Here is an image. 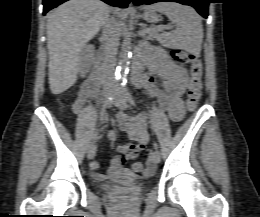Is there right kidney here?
<instances>
[{"label": "right kidney", "mask_w": 260, "mask_h": 217, "mask_svg": "<svg viewBox=\"0 0 260 217\" xmlns=\"http://www.w3.org/2000/svg\"><path fill=\"white\" fill-rule=\"evenodd\" d=\"M94 47L93 45H87L81 52L80 63H79V73L81 77H85V75L89 72L91 65L93 63V54Z\"/></svg>", "instance_id": "right-kidney-1"}]
</instances>
